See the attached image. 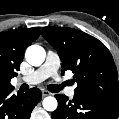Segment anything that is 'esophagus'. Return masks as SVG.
Returning a JSON list of instances; mask_svg holds the SVG:
<instances>
[{
    "mask_svg": "<svg viewBox=\"0 0 119 119\" xmlns=\"http://www.w3.org/2000/svg\"><path fill=\"white\" fill-rule=\"evenodd\" d=\"M42 95L43 96H48V95H51V93L45 89L42 90Z\"/></svg>",
    "mask_w": 119,
    "mask_h": 119,
    "instance_id": "34e87169",
    "label": "esophagus"
}]
</instances>
